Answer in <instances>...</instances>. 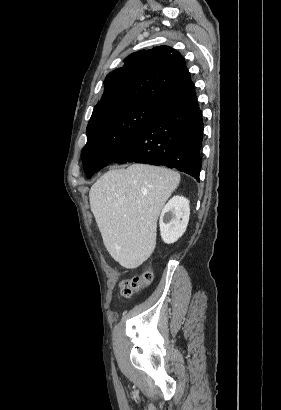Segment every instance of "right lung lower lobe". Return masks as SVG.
<instances>
[{
	"label": "right lung lower lobe",
	"mask_w": 281,
	"mask_h": 410,
	"mask_svg": "<svg viewBox=\"0 0 281 410\" xmlns=\"http://www.w3.org/2000/svg\"><path fill=\"white\" fill-rule=\"evenodd\" d=\"M203 127L202 112L193 91L162 107L113 162L164 165L199 181Z\"/></svg>",
	"instance_id": "1"
}]
</instances>
